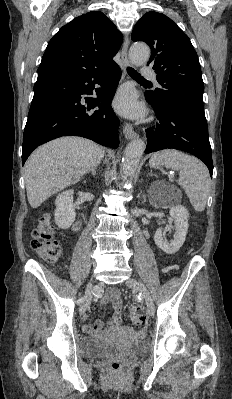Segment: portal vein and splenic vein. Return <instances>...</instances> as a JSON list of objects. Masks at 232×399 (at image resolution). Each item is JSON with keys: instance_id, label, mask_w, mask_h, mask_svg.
I'll use <instances>...</instances> for the list:
<instances>
[{"instance_id": "1", "label": "portal vein and splenic vein", "mask_w": 232, "mask_h": 399, "mask_svg": "<svg viewBox=\"0 0 232 399\" xmlns=\"http://www.w3.org/2000/svg\"><path fill=\"white\" fill-rule=\"evenodd\" d=\"M170 174H171V176H172V174H174V172H170Z\"/></svg>"}]
</instances>
